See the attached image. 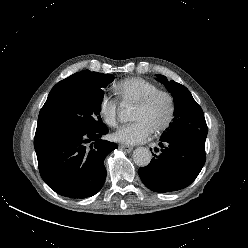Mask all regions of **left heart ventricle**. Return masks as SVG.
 <instances>
[{
  "instance_id": "left-heart-ventricle-1",
  "label": "left heart ventricle",
  "mask_w": 248,
  "mask_h": 248,
  "mask_svg": "<svg viewBox=\"0 0 248 248\" xmlns=\"http://www.w3.org/2000/svg\"><path fill=\"white\" fill-rule=\"evenodd\" d=\"M168 113V102L165 97H158L149 107L135 106L132 114L134 121H144L152 130L159 126Z\"/></svg>"
}]
</instances>
